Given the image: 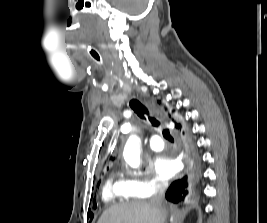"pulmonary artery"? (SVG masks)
<instances>
[{"mask_svg": "<svg viewBox=\"0 0 267 223\" xmlns=\"http://www.w3.org/2000/svg\"><path fill=\"white\" fill-rule=\"evenodd\" d=\"M165 146L164 141L159 135H153L149 142V147L153 151H161Z\"/></svg>", "mask_w": 267, "mask_h": 223, "instance_id": "e3ab8cb5", "label": "pulmonary artery"}]
</instances>
